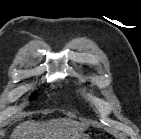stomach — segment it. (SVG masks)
<instances>
[{"label":"stomach","mask_w":141,"mask_h":139,"mask_svg":"<svg viewBox=\"0 0 141 139\" xmlns=\"http://www.w3.org/2000/svg\"><path fill=\"white\" fill-rule=\"evenodd\" d=\"M80 139H89L87 136L82 135Z\"/></svg>","instance_id":"1"}]
</instances>
